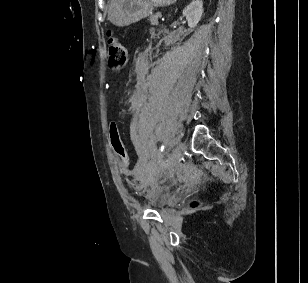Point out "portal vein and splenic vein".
Returning <instances> with one entry per match:
<instances>
[{
    "label": "portal vein and splenic vein",
    "instance_id": "obj_1",
    "mask_svg": "<svg viewBox=\"0 0 308 283\" xmlns=\"http://www.w3.org/2000/svg\"><path fill=\"white\" fill-rule=\"evenodd\" d=\"M158 15H159V17H161V16H162V14H161L160 12L158 13Z\"/></svg>",
    "mask_w": 308,
    "mask_h": 283
}]
</instances>
